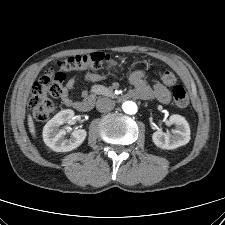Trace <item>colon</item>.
<instances>
[{
  "instance_id": "5ec220e1",
  "label": "colon",
  "mask_w": 225,
  "mask_h": 225,
  "mask_svg": "<svg viewBox=\"0 0 225 225\" xmlns=\"http://www.w3.org/2000/svg\"><path fill=\"white\" fill-rule=\"evenodd\" d=\"M117 62L110 55L103 52H94L85 55L72 56L60 63L61 70H47L34 84L29 100V108L38 121H45L55 109L54 99L62 94V82L65 79L64 71H81L87 68L103 69L115 68ZM162 80L166 84H174L175 75L171 71L162 73ZM174 102L179 107L189 104L188 94L182 85L172 88Z\"/></svg>"
}]
</instances>
